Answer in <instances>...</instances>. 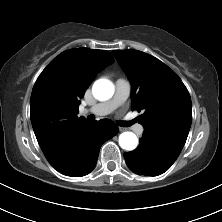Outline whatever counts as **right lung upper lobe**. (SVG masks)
Returning <instances> with one entry per match:
<instances>
[{
	"label": "right lung upper lobe",
	"instance_id": "1",
	"mask_svg": "<svg viewBox=\"0 0 222 222\" xmlns=\"http://www.w3.org/2000/svg\"><path fill=\"white\" fill-rule=\"evenodd\" d=\"M114 62L110 52L75 48L55 57L38 77L30 99L31 122L44 155L52 154L88 121L78 106L96 74Z\"/></svg>",
	"mask_w": 222,
	"mask_h": 222
}]
</instances>
